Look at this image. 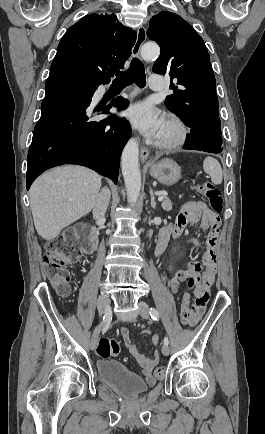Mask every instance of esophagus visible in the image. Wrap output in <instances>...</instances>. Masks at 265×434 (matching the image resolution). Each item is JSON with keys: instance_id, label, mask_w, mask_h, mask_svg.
Returning <instances> with one entry per match:
<instances>
[{"instance_id": "obj_1", "label": "esophagus", "mask_w": 265, "mask_h": 434, "mask_svg": "<svg viewBox=\"0 0 265 434\" xmlns=\"http://www.w3.org/2000/svg\"><path fill=\"white\" fill-rule=\"evenodd\" d=\"M147 38V34H146V28L144 26H139L137 28V38H136V42L135 45L132 49V56L134 58L139 57L140 54V50L141 47L143 45V43L146 41ZM149 149L145 146L141 147V151H140V158L142 162H146L148 157H149Z\"/></svg>"}]
</instances>
